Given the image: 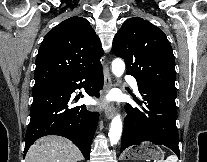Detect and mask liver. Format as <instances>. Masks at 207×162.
Here are the masks:
<instances>
[{
	"mask_svg": "<svg viewBox=\"0 0 207 162\" xmlns=\"http://www.w3.org/2000/svg\"><path fill=\"white\" fill-rule=\"evenodd\" d=\"M79 149L68 139L60 136H45L29 148L26 162H77L82 160Z\"/></svg>",
	"mask_w": 207,
	"mask_h": 162,
	"instance_id": "6515ba94",
	"label": "liver"
}]
</instances>
